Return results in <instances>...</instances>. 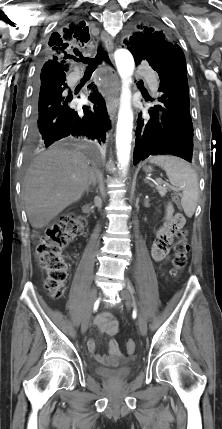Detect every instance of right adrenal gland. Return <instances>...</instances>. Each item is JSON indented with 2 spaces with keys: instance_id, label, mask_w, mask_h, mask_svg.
<instances>
[{
  "instance_id": "obj_1",
  "label": "right adrenal gland",
  "mask_w": 222,
  "mask_h": 429,
  "mask_svg": "<svg viewBox=\"0 0 222 429\" xmlns=\"http://www.w3.org/2000/svg\"><path fill=\"white\" fill-rule=\"evenodd\" d=\"M96 184H97V181H96L95 177H93V178L91 179V181L89 182V184H88L87 188H86V192H87V193H89L90 187H91V186H92V187H96Z\"/></svg>"
}]
</instances>
